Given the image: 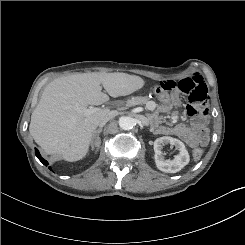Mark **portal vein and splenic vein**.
I'll return each mask as SVG.
<instances>
[{"label":"portal vein and splenic vein","mask_w":245,"mask_h":245,"mask_svg":"<svg viewBox=\"0 0 245 245\" xmlns=\"http://www.w3.org/2000/svg\"><path fill=\"white\" fill-rule=\"evenodd\" d=\"M97 110H98V108H95V107H89V108L83 109V111L86 115H90L91 113H93Z\"/></svg>","instance_id":"portal-vein-and-splenic-vein-1"}]
</instances>
